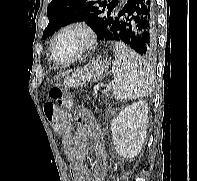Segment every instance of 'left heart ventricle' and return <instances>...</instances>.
I'll use <instances>...</instances> for the list:
<instances>
[{
    "label": "left heart ventricle",
    "mask_w": 197,
    "mask_h": 181,
    "mask_svg": "<svg viewBox=\"0 0 197 181\" xmlns=\"http://www.w3.org/2000/svg\"><path fill=\"white\" fill-rule=\"evenodd\" d=\"M84 34L78 30H70L64 33L56 44V58L67 60L72 57L83 45Z\"/></svg>",
    "instance_id": "1"
}]
</instances>
